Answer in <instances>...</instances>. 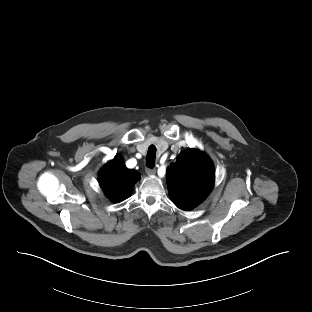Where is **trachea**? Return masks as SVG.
Returning <instances> with one entry per match:
<instances>
[{"label": "trachea", "instance_id": "obj_1", "mask_svg": "<svg viewBox=\"0 0 312 312\" xmlns=\"http://www.w3.org/2000/svg\"><path fill=\"white\" fill-rule=\"evenodd\" d=\"M155 157H156V147L154 145H150L146 157V166L148 168L152 169L155 166Z\"/></svg>", "mask_w": 312, "mask_h": 312}]
</instances>
